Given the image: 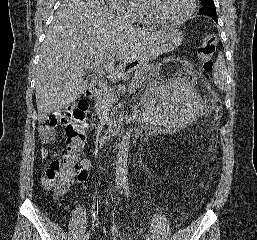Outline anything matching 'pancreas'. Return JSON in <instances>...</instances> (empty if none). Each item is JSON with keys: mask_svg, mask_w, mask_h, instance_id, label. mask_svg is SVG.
Segmentation results:
<instances>
[{"mask_svg": "<svg viewBox=\"0 0 257 240\" xmlns=\"http://www.w3.org/2000/svg\"><path fill=\"white\" fill-rule=\"evenodd\" d=\"M154 71V65L144 63L139 67L133 77L132 85L134 88L142 86L144 81L149 77V74ZM115 94L110 89L102 87L95 93V108L99 115L101 112L109 109L116 101Z\"/></svg>", "mask_w": 257, "mask_h": 240, "instance_id": "1", "label": "pancreas"}]
</instances>
